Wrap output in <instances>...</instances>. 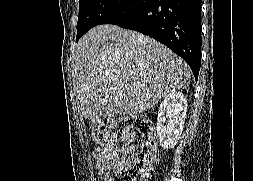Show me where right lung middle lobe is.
<instances>
[{
    "instance_id": "dd1d6c3e",
    "label": "right lung middle lobe",
    "mask_w": 253,
    "mask_h": 181,
    "mask_svg": "<svg viewBox=\"0 0 253 181\" xmlns=\"http://www.w3.org/2000/svg\"><path fill=\"white\" fill-rule=\"evenodd\" d=\"M128 0H80L77 22V37L84 35L92 27L102 24L111 14Z\"/></svg>"
}]
</instances>
